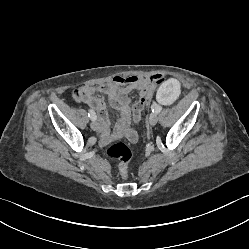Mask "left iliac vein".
<instances>
[{
  "mask_svg": "<svg viewBox=\"0 0 249 249\" xmlns=\"http://www.w3.org/2000/svg\"><path fill=\"white\" fill-rule=\"evenodd\" d=\"M157 122H158V116H157L156 113L153 112V113L150 115L149 124H150L151 126H155V125L157 124Z\"/></svg>",
  "mask_w": 249,
  "mask_h": 249,
  "instance_id": "left-iliac-vein-1",
  "label": "left iliac vein"
}]
</instances>
